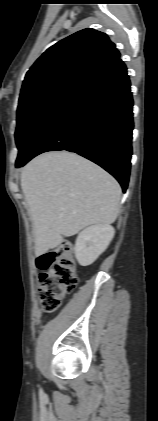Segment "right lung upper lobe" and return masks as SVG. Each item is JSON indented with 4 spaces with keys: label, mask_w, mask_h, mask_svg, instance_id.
Returning <instances> with one entry per match:
<instances>
[{
    "label": "right lung upper lobe",
    "mask_w": 158,
    "mask_h": 421,
    "mask_svg": "<svg viewBox=\"0 0 158 421\" xmlns=\"http://www.w3.org/2000/svg\"><path fill=\"white\" fill-rule=\"evenodd\" d=\"M120 58L105 33L83 29L47 49L27 72L20 98L59 83H86Z\"/></svg>",
    "instance_id": "cb5924a9"
}]
</instances>
